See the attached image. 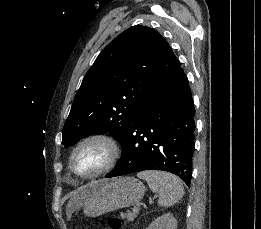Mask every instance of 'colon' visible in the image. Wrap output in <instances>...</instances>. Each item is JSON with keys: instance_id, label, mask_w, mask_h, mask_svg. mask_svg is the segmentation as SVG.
I'll use <instances>...</instances> for the list:
<instances>
[{"instance_id": "5ec220e1", "label": "colon", "mask_w": 261, "mask_h": 229, "mask_svg": "<svg viewBox=\"0 0 261 229\" xmlns=\"http://www.w3.org/2000/svg\"><path fill=\"white\" fill-rule=\"evenodd\" d=\"M108 224H109L110 229H122L123 228L122 221L120 220V218H117V217L110 219Z\"/></svg>"}]
</instances>
